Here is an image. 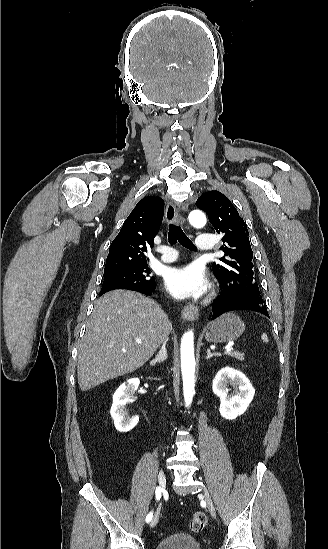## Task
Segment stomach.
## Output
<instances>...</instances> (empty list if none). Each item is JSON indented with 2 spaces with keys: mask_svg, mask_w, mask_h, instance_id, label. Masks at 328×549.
Listing matches in <instances>:
<instances>
[{
  "mask_svg": "<svg viewBox=\"0 0 328 549\" xmlns=\"http://www.w3.org/2000/svg\"><path fill=\"white\" fill-rule=\"evenodd\" d=\"M244 331L243 321L230 311L209 323L205 339L208 343H229V341H236Z\"/></svg>",
  "mask_w": 328,
  "mask_h": 549,
  "instance_id": "1",
  "label": "stomach"
}]
</instances>
